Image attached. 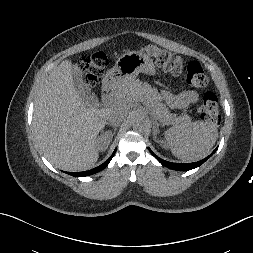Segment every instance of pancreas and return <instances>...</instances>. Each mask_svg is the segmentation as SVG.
<instances>
[{
	"mask_svg": "<svg viewBox=\"0 0 253 253\" xmlns=\"http://www.w3.org/2000/svg\"><path fill=\"white\" fill-rule=\"evenodd\" d=\"M140 95L145 99L146 104L152 109L155 116L163 123L186 125L191 122L187 114H171L166 106L160 102V96L149 84L142 83L139 80L128 81L119 86L114 99L117 103H126L135 96Z\"/></svg>",
	"mask_w": 253,
	"mask_h": 253,
	"instance_id": "obj_1",
	"label": "pancreas"
}]
</instances>
